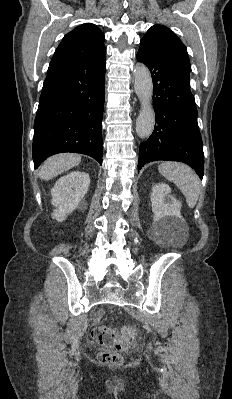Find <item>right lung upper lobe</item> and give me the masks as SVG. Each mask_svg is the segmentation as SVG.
<instances>
[{
    "mask_svg": "<svg viewBox=\"0 0 232 399\" xmlns=\"http://www.w3.org/2000/svg\"><path fill=\"white\" fill-rule=\"evenodd\" d=\"M105 53L104 34L96 25L87 23L64 36L51 61L94 59Z\"/></svg>",
    "mask_w": 232,
    "mask_h": 399,
    "instance_id": "obj_1",
    "label": "right lung upper lobe"
}]
</instances>
